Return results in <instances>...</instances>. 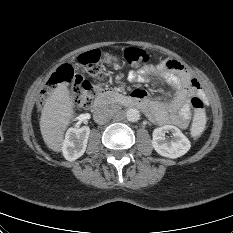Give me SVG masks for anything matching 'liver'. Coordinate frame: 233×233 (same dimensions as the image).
I'll return each mask as SVG.
<instances>
[{
  "label": "liver",
  "instance_id": "obj_1",
  "mask_svg": "<svg viewBox=\"0 0 233 233\" xmlns=\"http://www.w3.org/2000/svg\"><path fill=\"white\" fill-rule=\"evenodd\" d=\"M75 114L73 97L66 83L59 84L42 109L40 131L47 147L54 152L62 150L64 132Z\"/></svg>",
  "mask_w": 233,
  "mask_h": 233
}]
</instances>
